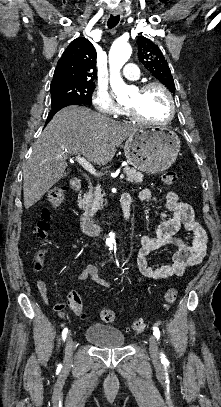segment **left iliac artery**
Returning <instances> with one entry per match:
<instances>
[{
  "mask_svg": "<svg viewBox=\"0 0 221 407\" xmlns=\"http://www.w3.org/2000/svg\"><path fill=\"white\" fill-rule=\"evenodd\" d=\"M153 334L155 335V337L158 340L160 337V331H159L158 327H156V326L153 327ZM166 361H167V359L165 358V355L161 354V362H166Z\"/></svg>",
  "mask_w": 221,
  "mask_h": 407,
  "instance_id": "1",
  "label": "left iliac artery"
}]
</instances>
